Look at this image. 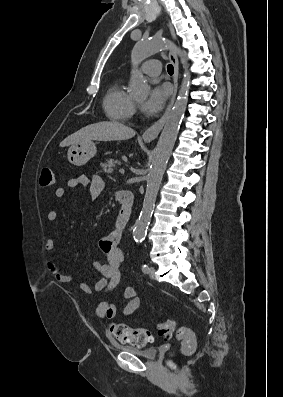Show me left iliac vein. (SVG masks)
<instances>
[{"instance_id": "left-iliac-vein-1", "label": "left iliac vein", "mask_w": 283, "mask_h": 397, "mask_svg": "<svg viewBox=\"0 0 283 397\" xmlns=\"http://www.w3.org/2000/svg\"><path fill=\"white\" fill-rule=\"evenodd\" d=\"M149 276H150V278L151 279H155V269H154V267H150L149 268Z\"/></svg>"}]
</instances>
